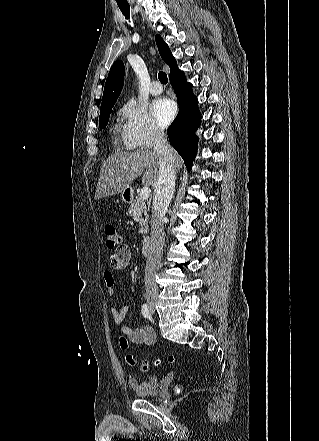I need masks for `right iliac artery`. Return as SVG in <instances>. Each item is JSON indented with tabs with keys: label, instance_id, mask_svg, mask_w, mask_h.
Returning <instances> with one entry per match:
<instances>
[{
	"label": "right iliac artery",
	"instance_id": "1",
	"mask_svg": "<svg viewBox=\"0 0 319 441\" xmlns=\"http://www.w3.org/2000/svg\"><path fill=\"white\" fill-rule=\"evenodd\" d=\"M141 313H142L144 318H149L150 317L149 308H148V306L146 304L142 305Z\"/></svg>",
	"mask_w": 319,
	"mask_h": 441
}]
</instances>
